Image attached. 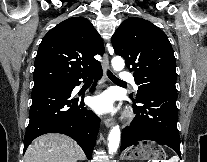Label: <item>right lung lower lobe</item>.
Returning a JSON list of instances; mask_svg holds the SVG:
<instances>
[{"label":"right lung lower lobe","instance_id":"right-lung-lower-lobe-1","mask_svg":"<svg viewBox=\"0 0 207 162\" xmlns=\"http://www.w3.org/2000/svg\"><path fill=\"white\" fill-rule=\"evenodd\" d=\"M95 80L102 76L101 67L92 71ZM78 77L64 83L32 90L29 125L24 137V152L36 137L56 132L70 136L78 142L90 160L99 130V118L84 107V102L71 96ZM93 89V88H92Z\"/></svg>","mask_w":207,"mask_h":162}]
</instances>
